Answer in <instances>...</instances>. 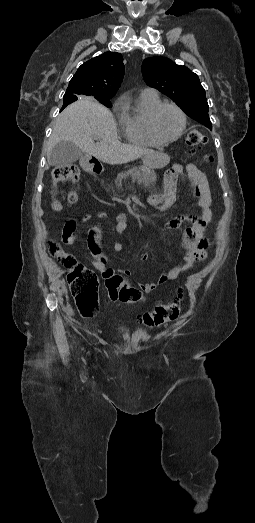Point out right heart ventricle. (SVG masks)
I'll return each mask as SVG.
<instances>
[{"instance_id":"right-heart-ventricle-1","label":"right heart ventricle","mask_w":255,"mask_h":523,"mask_svg":"<svg viewBox=\"0 0 255 523\" xmlns=\"http://www.w3.org/2000/svg\"><path fill=\"white\" fill-rule=\"evenodd\" d=\"M161 103L156 90L144 89L133 104H126L118 116V127L123 139L132 145L153 146L159 142L149 133L148 117L151 110Z\"/></svg>"}]
</instances>
